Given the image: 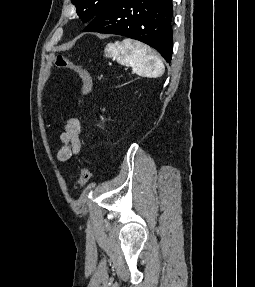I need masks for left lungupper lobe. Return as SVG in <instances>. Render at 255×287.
Returning a JSON list of instances; mask_svg holds the SVG:
<instances>
[{
  "label": "left lung upper lobe",
  "instance_id": "1",
  "mask_svg": "<svg viewBox=\"0 0 255 287\" xmlns=\"http://www.w3.org/2000/svg\"><path fill=\"white\" fill-rule=\"evenodd\" d=\"M83 22L92 20L112 0H71Z\"/></svg>",
  "mask_w": 255,
  "mask_h": 287
}]
</instances>
